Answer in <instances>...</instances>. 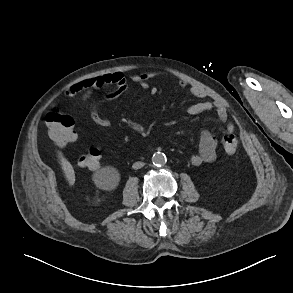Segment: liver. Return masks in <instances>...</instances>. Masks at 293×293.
I'll return each instance as SVG.
<instances>
[{
  "instance_id": "obj_1",
  "label": "liver",
  "mask_w": 293,
  "mask_h": 293,
  "mask_svg": "<svg viewBox=\"0 0 293 293\" xmlns=\"http://www.w3.org/2000/svg\"><path fill=\"white\" fill-rule=\"evenodd\" d=\"M61 165L68 183L73 185L75 183V173L72 165L63 156H61Z\"/></svg>"
}]
</instances>
